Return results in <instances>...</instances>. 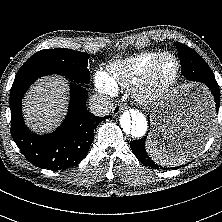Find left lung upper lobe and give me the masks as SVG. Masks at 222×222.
I'll use <instances>...</instances> for the list:
<instances>
[{
  "label": "left lung upper lobe",
  "mask_w": 222,
  "mask_h": 222,
  "mask_svg": "<svg viewBox=\"0 0 222 222\" xmlns=\"http://www.w3.org/2000/svg\"><path fill=\"white\" fill-rule=\"evenodd\" d=\"M176 46L179 51V58L187 57V56L191 57L195 59L196 61H198V63L202 65L204 69H206L210 74H213L208 64L203 60V58L197 52H195L193 49H191L190 47H187L186 45L182 43L176 42ZM213 78H215L214 75H213Z\"/></svg>",
  "instance_id": "5c2ea615"
}]
</instances>
